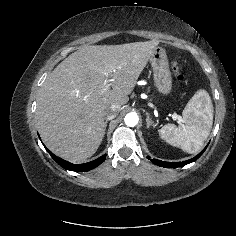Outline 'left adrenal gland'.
<instances>
[{
	"label": "left adrenal gland",
	"instance_id": "left-adrenal-gland-1",
	"mask_svg": "<svg viewBox=\"0 0 236 236\" xmlns=\"http://www.w3.org/2000/svg\"><path fill=\"white\" fill-rule=\"evenodd\" d=\"M146 115H147L146 117L147 128H150V127L155 128L157 125L152 122V120L150 119L149 113H146Z\"/></svg>",
	"mask_w": 236,
	"mask_h": 236
}]
</instances>
